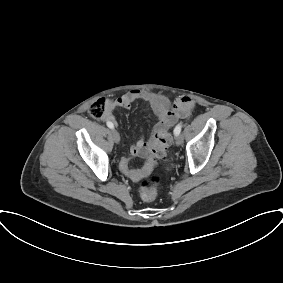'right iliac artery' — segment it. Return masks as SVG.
Returning <instances> with one entry per match:
<instances>
[{
	"label": "right iliac artery",
	"mask_w": 283,
	"mask_h": 283,
	"mask_svg": "<svg viewBox=\"0 0 283 283\" xmlns=\"http://www.w3.org/2000/svg\"><path fill=\"white\" fill-rule=\"evenodd\" d=\"M107 126H108L110 129H113V128H114V125H113V123H111V122H107Z\"/></svg>",
	"instance_id": "right-iliac-artery-1"
}]
</instances>
